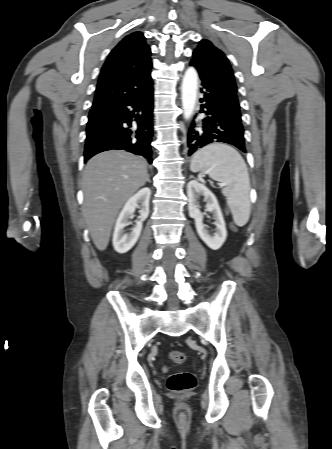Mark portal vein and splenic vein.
I'll list each match as a JSON object with an SVG mask.
<instances>
[{"mask_svg":"<svg viewBox=\"0 0 332 449\" xmlns=\"http://www.w3.org/2000/svg\"><path fill=\"white\" fill-rule=\"evenodd\" d=\"M219 186H220V187H224V186H225V184L221 183V184H219Z\"/></svg>","mask_w":332,"mask_h":449,"instance_id":"obj_1","label":"portal vein and splenic vein"}]
</instances>
